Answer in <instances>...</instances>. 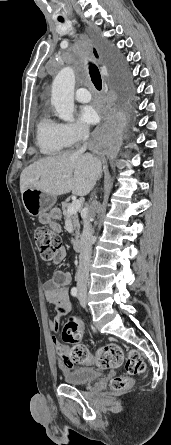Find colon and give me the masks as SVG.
Wrapping results in <instances>:
<instances>
[{"label":"colon","instance_id":"obj_1","mask_svg":"<svg viewBox=\"0 0 171 445\" xmlns=\"http://www.w3.org/2000/svg\"><path fill=\"white\" fill-rule=\"evenodd\" d=\"M35 242L41 258L46 263L55 261L61 248V240L57 234L45 229L37 228L34 232ZM81 320L70 318L63 330V339L71 344L69 360L74 364H94L101 369H111L121 366L124 362L122 348L115 343L104 345L91 354L81 341L79 332ZM146 365L140 354L132 350L125 360L126 375L114 377L110 382V388L115 392H121L129 388L133 376L144 373Z\"/></svg>","mask_w":171,"mask_h":445}]
</instances>
